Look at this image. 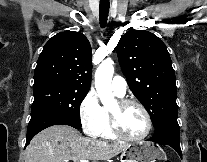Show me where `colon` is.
I'll use <instances>...</instances> for the list:
<instances>
[{"label":"colon","instance_id":"5ec220e1","mask_svg":"<svg viewBox=\"0 0 207 162\" xmlns=\"http://www.w3.org/2000/svg\"><path fill=\"white\" fill-rule=\"evenodd\" d=\"M161 162H170V161H167V160H163V161H161Z\"/></svg>","mask_w":207,"mask_h":162}]
</instances>
